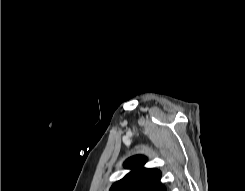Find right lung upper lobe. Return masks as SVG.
<instances>
[{"label":"right lung upper lobe","mask_w":245,"mask_h":191,"mask_svg":"<svg viewBox=\"0 0 245 191\" xmlns=\"http://www.w3.org/2000/svg\"><path fill=\"white\" fill-rule=\"evenodd\" d=\"M146 161L147 158L142 155L127 159L124 166L132 171L114 183L110 191H166L160 182L161 172L153 168H144Z\"/></svg>","instance_id":"right-lung-upper-lobe-1"}]
</instances>
